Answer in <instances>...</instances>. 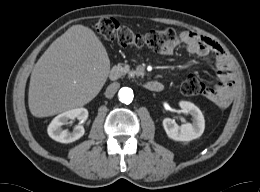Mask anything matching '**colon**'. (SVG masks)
<instances>
[{
	"label": "colon",
	"mask_w": 260,
	"mask_h": 192,
	"mask_svg": "<svg viewBox=\"0 0 260 192\" xmlns=\"http://www.w3.org/2000/svg\"><path fill=\"white\" fill-rule=\"evenodd\" d=\"M95 28L102 37L117 41L120 45L137 49L147 47L159 52L174 45L182 36V32L172 28L151 30L144 34L136 33L114 18L99 19ZM181 90L185 95H198L204 93L205 86L190 75L182 83Z\"/></svg>",
	"instance_id": "1"
}]
</instances>
